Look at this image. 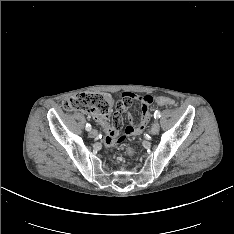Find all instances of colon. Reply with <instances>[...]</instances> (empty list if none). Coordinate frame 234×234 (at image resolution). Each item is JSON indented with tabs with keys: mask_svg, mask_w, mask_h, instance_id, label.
<instances>
[{
	"mask_svg": "<svg viewBox=\"0 0 234 234\" xmlns=\"http://www.w3.org/2000/svg\"><path fill=\"white\" fill-rule=\"evenodd\" d=\"M126 94L128 93H125L124 95ZM155 102L161 103L162 105L166 106L175 105V102L172 99L161 96H156ZM112 107H113V99L109 94L106 93H100V94L81 93L69 98L63 103V108L66 111H82L85 113H92L101 119H107L109 117ZM143 128L144 126H142L141 132ZM133 135L136 136V134L134 133ZM124 149L129 150V146H124Z\"/></svg>",
	"mask_w": 234,
	"mask_h": 234,
	"instance_id": "1",
	"label": "colon"
}]
</instances>
